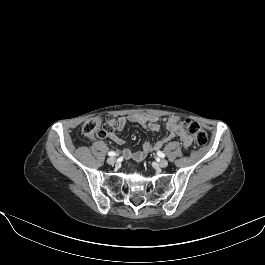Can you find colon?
Listing matches in <instances>:
<instances>
[{
  "mask_svg": "<svg viewBox=\"0 0 265 265\" xmlns=\"http://www.w3.org/2000/svg\"><path fill=\"white\" fill-rule=\"evenodd\" d=\"M181 124L190 133L196 144L203 146L207 143V133L198 123L192 121L191 119H184ZM112 127L113 121L111 119H92L83 125L82 131L87 137L102 138L112 129Z\"/></svg>",
  "mask_w": 265,
  "mask_h": 265,
  "instance_id": "1",
  "label": "colon"
}]
</instances>
